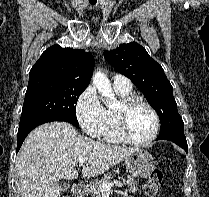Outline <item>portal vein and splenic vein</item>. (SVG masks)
I'll use <instances>...</instances> for the list:
<instances>
[{
	"instance_id": "portal-vein-and-splenic-vein-1",
	"label": "portal vein and splenic vein",
	"mask_w": 209,
	"mask_h": 197,
	"mask_svg": "<svg viewBox=\"0 0 209 197\" xmlns=\"http://www.w3.org/2000/svg\"><path fill=\"white\" fill-rule=\"evenodd\" d=\"M85 163V159L84 158H80L79 159V165L83 166V164ZM116 185L117 187L121 188L123 186V184L121 182L118 181H114L111 183H102V192H110L111 188L113 187V185Z\"/></svg>"
}]
</instances>
